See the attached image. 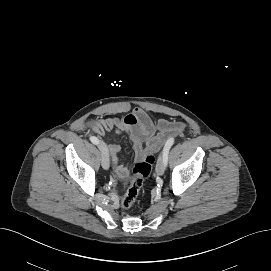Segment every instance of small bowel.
I'll return each instance as SVG.
<instances>
[{"mask_svg":"<svg viewBox=\"0 0 271 271\" xmlns=\"http://www.w3.org/2000/svg\"><path fill=\"white\" fill-rule=\"evenodd\" d=\"M90 126L92 131L98 135H104L107 132L126 133L132 141L137 161L156 152L170 135L178 134L184 129V124L181 122H172L165 119L154 122L140 108H135L123 118L92 121ZM106 147L110 152L116 175L120 179L128 178L130 169L119 160L120 147L113 143H109Z\"/></svg>","mask_w":271,"mask_h":271,"instance_id":"c3829d8e","label":"small bowel"}]
</instances>
